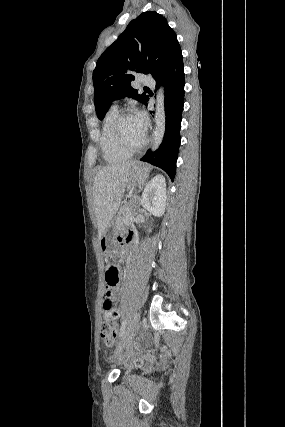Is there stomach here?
Wrapping results in <instances>:
<instances>
[{
    "label": "stomach",
    "mask_w": 285,
    "mask_h": 427,
    "mask_svg": "<svg viewBox=\"0 0 285 427\" xmlns=\"http://www.w3.org/2000/svg\"><path fill=\"white\" fill-rule=\"evenodd\" d=\"M149 175V167L143 164L135 163L129 173L128 189H134L135 187L141 188ZM116 231L114 224L109 225L105 233L99 239V245L104 253L111 251L113 247V237Z\"/></svg>",
    "instance_id": "stomach-1"
}]
</instances>
